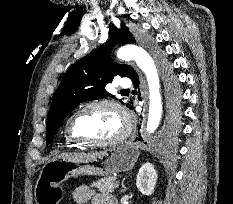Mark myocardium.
Instances as JSON below:
<instances>
[{
  "label": "myocardium",
  "instance_id": "1",
  "mask_svg": "<svg viewBox=\"0 0 233 204\" xmlns=\"http://www.w3.org/2000/svg\"><path fill=\"white\" fill-rule=\"evenodd\" d=\"M101 106L111 107L118 112V114L120 115L122 122H123L122 131L118 135H116L115 137H113L109 140H106V141H94V140H89V139H86V138H83V137L76 135L74 130H73V123H74V120L76 119V117L90 108L101 107ZM131 130H132V120H131V117H130L128 111L121 103H119L118 101L113 100V99H98V100H93V101L85 103L84 105L77 108L70 115V117L68 118L67 123H66V131H67L68 136L71 139H73L77 142H80L86 146H92V147H111V146H114V145L124 141L131 133Z\"/></svg>",
  "mask_w": 233,
  "mask_h": 204
}]
</instances>
